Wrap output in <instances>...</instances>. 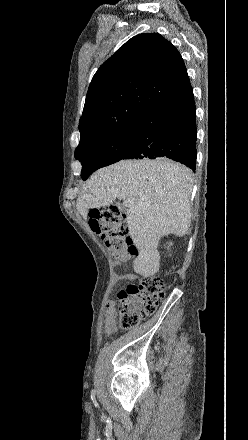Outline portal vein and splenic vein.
I'll return each mask as SVG.
<instances>
[{
	"label": "portal vein and splenic vein",
	"mask_w": 248,
	"mask_h": 440,
	"mask_svg": "<svg viewBox=\"0 0 248 440\" xmlns=\"http://www.w3.org/2000/svg\"><path fill=\"white\" fill-rule=\"evenodd\" d=\"M133 203V200H126V201H124L123 202V205L125 206V207H130V205Z\"/></svg>",
	"instance_id": "1"
}]
</instances>
